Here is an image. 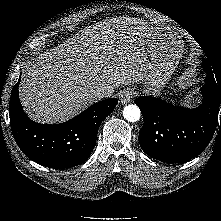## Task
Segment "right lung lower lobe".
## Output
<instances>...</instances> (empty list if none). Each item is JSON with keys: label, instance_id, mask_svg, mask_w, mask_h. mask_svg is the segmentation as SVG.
<instances>
[{"label": "right lung lower lobe", "instance_id": "right-lung-lower-lobe-1", "mask_svg": "<svg viewBox=\"0 0 221 221\" xmlns=\"http://www.w3.org/2000/svg\"><path fill=\"white\" fill-rule=\"evenodd\" d=\"M17 84L9 102L10 125L22 152L34 162L53 169L70 168L85 162L96 144L102 121L118 100L109 98L91 105L76 117L60 124H39L24 112Z\"/></svg>", "mask_w": 221, "mask_h": 221}]
</instances>
